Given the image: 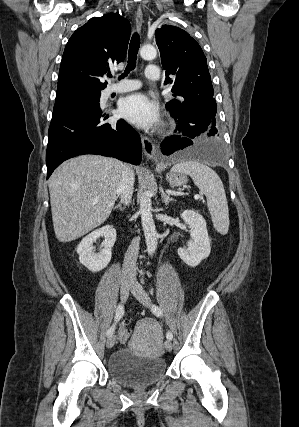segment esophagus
<instances>
[{"instance_id": "esophagus-1", "label": "esophagus", "mask_w": 299, "mask_h": 427, "mask_svg": "<svg viewBox=\"0 0 299 427\" xmlns=\"http://www.w3.org/2000/svg\"><path fill=\"white\" fill-rule=\"evenodd\" d=\"M136 27L138 30H141L143 23V14L140 8L137 9L135 14ZM141 142L143 146V151L147 159L155 160L157 155V150L153 141L147 136L141 135Z\"/></svg>"}]
</instances>
